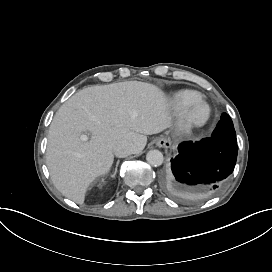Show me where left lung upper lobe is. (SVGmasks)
Segmentation results:
<instances>
[{"instance_id": "1", "label": "left lung upper lobe", "mask_w": 272, "mask_h": 272, "mask_svg": "<svg viewBox=\"0 0 272 272\" xmlns=\"http://www.w3.org/2000/svg\"><path fill=\"white\" fill-rule=\"evenodd\" d=\"M211 137L237 143L236 132L233 127V122L228 114L226 113L222 114L221 120L218 122Z\"/></svg>"}]
</instances>
